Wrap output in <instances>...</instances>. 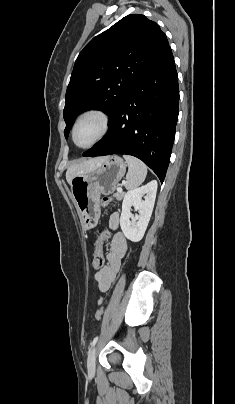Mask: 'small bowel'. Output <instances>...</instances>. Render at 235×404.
<instances>
[{
	"label": "small bowel",
	"instance_id": "c3829d8e",
	"mask_svg": "<svg viewBox=\"0 0 235 404\" xmlns=\"http://www.w3.org/2000/svg\"><path fill=\"white\" fill-rule=\"evenodd\" d=\"M113 227L117 226V217L114 216L111 220ZM127 251V241L124 235L120 232L116 233L111 240V248L107 255V264L98 270L95 274V280L98 284V289L101 293L107 292L119 271L121 261ZM101 303V299L98 301Z\"/></svg>",
	"mask_w": 235,
	"mask_h": 404
}]
</instances>
